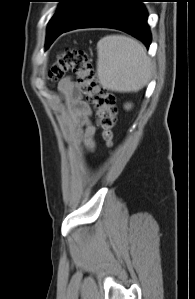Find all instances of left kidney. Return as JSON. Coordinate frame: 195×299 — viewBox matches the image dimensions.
I'll return each mask as SVG.
<instances>
[{
  "label": "left kidney",
  "instance_id": "obj_1",
  "mask_svg": "<svg viewBox=\"0 0 195 299\" xmlns=\"http://www.w3.org/2000/svg\"><path fill=\"white\" fill-rule=\"evenodd\" d=\"M125 108L129 109V108H131V105H126Z\"/></svg>",
  "mask_w": 195,
  "mask_h": 299
}]
</instances>
